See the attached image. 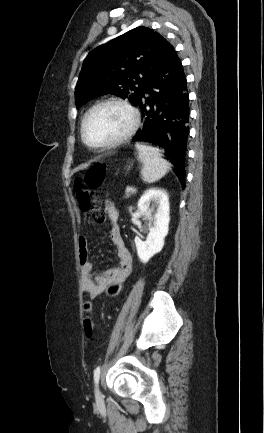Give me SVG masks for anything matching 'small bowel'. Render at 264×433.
Here are the masks:
<instances>
[{
  "label": "small bowel",
  "mask_w": 264,
  "mask_h": 433,
  "mask_svg": "<svg viewBox=\"0 0 264 433\" xmlns=\"http://www.w3.org/2000/svg\"><path fill=\"white\" fill-rule=\"evenodd\" d=\"M104 208L112 225L110 238L116 249L118 264L105 272H96L89 260L88 241L85 237L79 238L81 285L83 292L91 299L101 295L110 284L114 282L123 283L132 272V256L121 235L119 212L115 204L110 200L105 201ZM93 328L92 317L86 316L84 318V329L87 337H92Z\"/></svg>",
  "instance_id": "1"
}]
</instances>
